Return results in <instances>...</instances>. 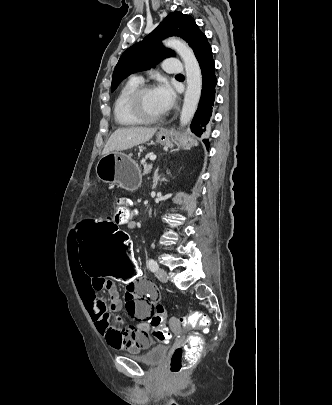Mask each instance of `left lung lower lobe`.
<instances>
[{
    "mask_svg": "<svg viewBox=\"0 0 332 405\" xmlns=\"http://www.w3.org/2000/svg\"><path fill=\"white\" fill-rule=\"evenodd\" d=\"M201 73H202V91L198 109L192 120L191 130L197 136L206 135L212 121L214 102H215V87L217 79L215 76V64L212 57V49L208 44L197 56ZM206 147L209 146L208 139H203Z\"/></svg>",
    "mask_w": 332,
    "mask_h": 405,
    "instance_id": "1",
    "label": "left lung lower lobe"
}]
</instances>
